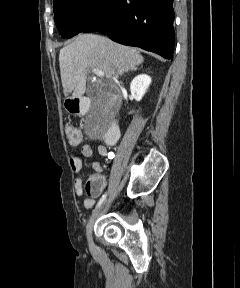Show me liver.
Listing matches in <instances>:
<instances>
[{
    "label": "liver",
    "instance_id": "obj_1",
    "mask_svg": "<svg viewBox=\"0 0 240 288\" xmlns=\"http://www.w3.org/2000/svg\"><path fill=\"white\" fill-rule=\"evenodd\" d=\"M144 61L136 49L120 45L108 38L84 34L63 47L59 54L60 74L64 94L80 98L86 91L87 73L92 68L104 72L110 80L115 71H126Z\"/></svg>",
    "mask_w": 240,
    "mask_h": 288
}]
</instances>
